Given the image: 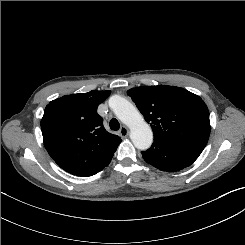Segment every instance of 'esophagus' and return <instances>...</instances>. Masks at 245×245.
<instances>
[{
    "instance_id": "obj_1",
    "label": "esophagus",
    "mask_w": 245,
    "mask_h": 245,
    "mask_svg": "<svg viewBox=\"0 0 245 245\" xmlns=\"http://www.w3.org/2000/svg\"><path fill=\"white\" fill-rule=\"evenodd\" d=\"M129 134V130L126 126H122L121 129L119 130V135L122 137V138H125L127 137Z\"/></svg>"
}]
</instances>
